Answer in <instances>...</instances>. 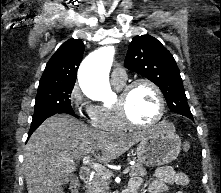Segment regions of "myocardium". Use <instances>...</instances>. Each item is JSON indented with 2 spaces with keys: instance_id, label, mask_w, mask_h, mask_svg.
<instances>
[{
  "instance_id": "f54148a6",
  "label": "myocardium",
  "mask_w": 221,
  "mask_h": 193,
  "mask_svg": "<svg viewBox=\"0 0 221 193\" xmlns=\"http://www.w3.org/2000/svg\"><path fill=\"white\" fill-rule=\"evenodd\" d=\"M139 85H147V86L151 87L154 90V92L158 98V113L155 116V118L149 123L136 122L131 117V115L129 113L128 101H129L131 92L133 91V89L136 86H139ZM116 107L118 109V112H119L122 122L127 127L136 128V129H148V128H152V127L156 126L157 124H159L161 122L162 118L164 117L165 97H164L162 90L155 82H153L150 79L139 78V79L133 80L132 82H130L126 85H123V87L120 90L117 102H116Z\"/></svg>"
}]
</instances>
